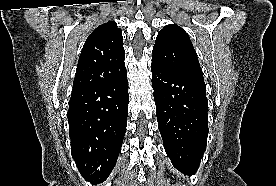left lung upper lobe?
<instances>
[{
  "instance_id": "obj_1",
  "label": "left lung upper lobe",
  "mask_w": 276,
  "mask_h": 186,
  "mask_svg": "<svg viewBox=\"0 0 276 186\" xmlns=\"http://www.w3.org/2000/svg\"><path fill=\"white\" fill-rule=\"evenodd\" d=\"M152 53L153 64L204 80L196 51L181 27L166 25L158 33Z\"/></svg>"
}]
</instances>
